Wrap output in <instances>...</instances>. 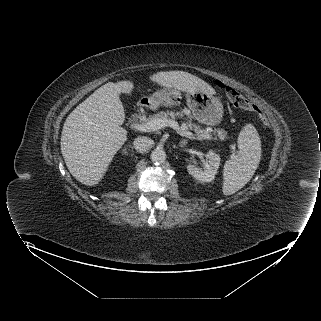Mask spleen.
Returning <instances> with one entry per match:
<instances>
[{"mask_svg":"<svg viewBox=\"0 0 321 321\" xmlns=\"http://www.w3.org/2000/svg\"><path fill=\"white\" fill-rule=\"evenodd\" d=\"M239 151L225 162L223 171L224 195L244 187L254 175L261 159V140L252 124H247L238 137Z\"/></svg>","mask_w":321,"mask_h":321,"instance_id":"3e777b00","label":"spleen"}]
</instances>
